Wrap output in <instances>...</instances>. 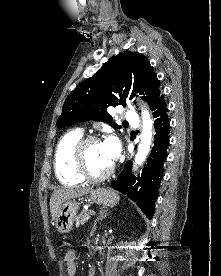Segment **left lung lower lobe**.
Wrapping results in <instances>:
<instances>
[{"mask_svg":"<svg viewBox=\"0 0 221 276\" xmlns=\"http://www.w3.org/2000/svg\"><path fill=\"white\" fill-rule=\"evenodd\" d=\"M152 111L155 118L156 133L151 153L143 171L139 177L132 175V162L129 161L117 180L111 184L114 189L126 194L136 202L149 219H152L154 213V204L163 177V164L169 144L170 122L163 95L157 98Z\"/></svg>","mask_w":221,"mask_h":276,"instance_id":"1","label":"left lung lower lobe"}]
</instances>
